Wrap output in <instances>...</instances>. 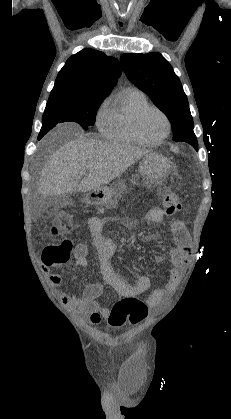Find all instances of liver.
<instances>
[{"label": "liver", "instance_id": "obj_1", "mask_svg": "<svg viewBox=\"0 0 231 419\" xmlns=\"http://www.w3.org/2000/svg\"><path fill=\"white\" fill-rule=\"evenodd\" d=\"M150 151L130 145L78 139L58 148L45 164L39 192L46 198L89 192L108 184ZM87 172L82 180L76 179Z\"/></svg>", "mask_w": 231, "mask_h": 419}]
</instances>
